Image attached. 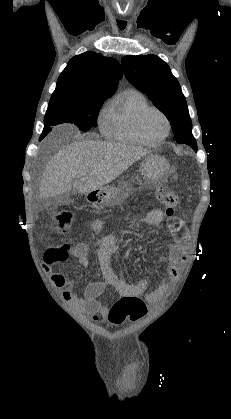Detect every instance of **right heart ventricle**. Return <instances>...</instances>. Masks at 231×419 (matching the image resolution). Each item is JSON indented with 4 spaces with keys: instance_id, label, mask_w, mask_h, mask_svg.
Returning <instances> with one entry per match:
<instances>
[{
    "instance_id": "e07e8e85",
    "label": "right heart ventricle",
    "mask_w": 231,
    "mask_h": 419,
    "mask_svg": "<svg viewBox=\"0 0 231 419\" xmlns=\"http://www.w3.org/2000/svg\"><path fill=\"white\" fill-rule=\"evenodd\" d=\"M148 106L146 98L140 92L131 90L123 93L109 108L105 136L122 144H146L136 132L135 120L139 112Z\"/></svg>"
}]
</instances>
